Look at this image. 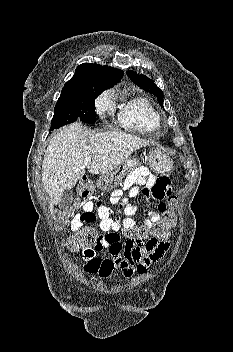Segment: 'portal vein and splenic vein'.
I'll list each match as a JSON object with an SVG mask.
<instances>
[{
    "label": "portal vein and splenic vein",
    "instance_id": "1",
    "mask_svg": "<svg viewBox=\"0 0 233 352\" xmlns=\"http://www.w3.org/2000/svg\"><path fill=\"white\" fill-rule=\"evenodd\" d=\"M91 160H92L91 157H85L84 162H85V163H88V162H91Z\"/></svg>",
    "mask_w": 233,
    "mask_h": 352
}]
</instances>
